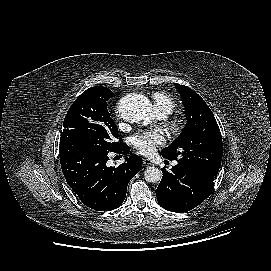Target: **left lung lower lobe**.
<instances>
[{
    "label": "left lung lower lobe",
    "mask_w": 271,
    "mask_h": 271,
    "mask_svg": "<svg viewBox=\"0 0 271 271\" xmlns=\"http://www.w3.org/2000/svg\"><path fill=\"white\" fill-rule=\"evenodd\" d=\"M163 177L156 190L158 203L171 212H187L202 203L214 188V181L180 166L168 172L162 169Z\"/></svg>",
    "instance_id": "obj_1"
}]
</instances>
